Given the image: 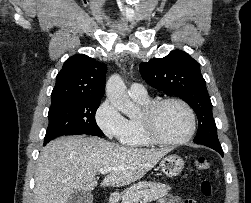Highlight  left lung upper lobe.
<instances>
[{"mask_svg": "<svg viewBox=\"0 0 251 203\" xmlns=\"http://www.w3.org/2000/svg\"><path fill=\"white\" fill-rule=\"evenodd\" d=\"M139 69L149 85L180 97L193 108L199 123L193 142L220 146L211 100L197 61L184 51L174 50L164 58L140 63Z\"/></svg>", "mask_w": 251, "mask_h": 203, "instance_id": "5c2ea615", "label": "left lung upper lobe"}]
</instances>
